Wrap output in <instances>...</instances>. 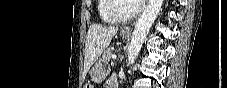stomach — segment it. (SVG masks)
Here are the masks:
<instances>
[{
    "mask_svg": "<svg viewBox=\"0 0 227 88\" xmlns=\"http://www.w3.org/2000/svg\"><path fill=\"white\" fill-rule=\"evenodd\" d=\"M120 35L123 38H126L128 36V33L125 31H121ZM107 75V69L104 65L103 61H98L96 64L92 67L90 71V76L94 82L100 83L104 80V78Z\"/></svg>",
    "mask_w": 227,
    "mask_h": 88,
    "instance_id": "0dacf381",
    "label": "stomach"
}]
</instances>
